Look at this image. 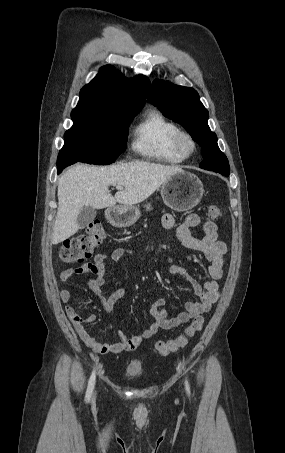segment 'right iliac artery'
Here are the masks:
<instances>
[{"label":"right iliac artery","instance_id":"obj_1","mask_svg":"<svg viewBox=\"0 0 285 453\" xmlns=\"http://www.w3.org/2000/svg\"><path fill=\"white\" fill-rule=\"evenodd\" d=\"M95 378H96L95 371H93L90 376L89 382H88L87 392H86V396H85L86 402H89L91 399V395L93 393V389H94V385H95Z\"/></svg>","mask_w":285,"mask_h":453}]
</instances>
